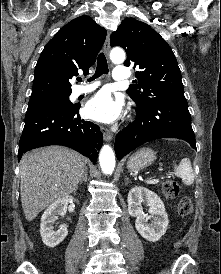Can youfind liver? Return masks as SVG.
<instances>
[{"label":"liver","mask_w":221,"mask_h":274,"mask_svg":"<svg viewBox=\"0 0 221 274\" xmlns=\"http://www.w3.org/2000/svg\"><path fill=\"white\" fill-rule=\"evenodd\" d=\"M86 162L81 154L61 146L24 154L20 161V194L26 220L32 221L47 206L72 193Z\"/></svg>","instance_id":"liver-1"}]
</instances>
